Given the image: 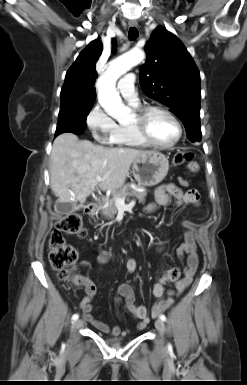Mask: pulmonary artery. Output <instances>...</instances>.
<instances>
[{"instance_id": "pulmonary-artery-1", "label": "pulmonary artery", "mask_w": 247, "mask_h": 385, "mask_svg": "<svg viewBox=\"0 0 247 385\" xmlns=\"http://www.w3.org/2000/svg\"><path fill=\"white\" fill-rule=\"evenodd\" d=\"M135 75L129 73L125 75L118 84L121 96L133 106L138 105L137 91L134 87Z\"/></svg>"}]
</instances>
